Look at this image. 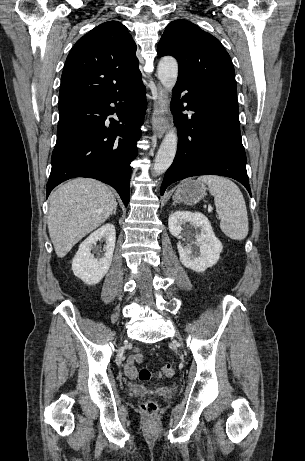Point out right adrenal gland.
<instances>
[{
	"label": "right adrenal gland",
	"instance_id": "2a0ac1e0",
	"mask_svg": "<svg viewBox=\"0 0 305 461\" xmlns=\"http://www.w3.org/2000/svg\"><path fill=\"white\" fill-rule=\"evenodd\" d=\"M117 206L114 208L112 215H116Z\"/></svg>",
	"mask_w": 305,
	"mask_h": 461
}]
</instances>
